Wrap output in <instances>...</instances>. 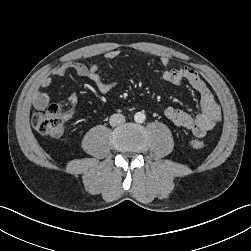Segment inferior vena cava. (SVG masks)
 <instances>
[{
	"instance_id": "obj_1",
	"label": "inferior vena cava",
	"mask_w": 251,
	"mask_h": 251,
	"mask_svg": "<svg viewBox=\"0 0 251 251\" xmlns=\"http://www.w3.org/2000/svg\"><path fill=\"white\" fill-rule=\"evenodd\" d=\"M124 122H125V117L122 114H113L109 120L110 125L113 127L121 125Z\"/></svg>"
}]
</instances>
